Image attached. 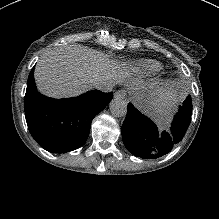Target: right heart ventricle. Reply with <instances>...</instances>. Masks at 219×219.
Wrapping results in <instances>:
<instances>
[{
    "mask_svg": "<svg viewBox=\"0 0 219 219\" xmlns=\"http://www.w3.org/2000/svg\"><path fill=\"white\" fill-rule=\"evenodd\" d=\"M129 66L135 74L146 78L153 77L161 69V64L153 60H139L129 63Z\"/></svg>",
    "mask_w": 219,
    "mask_h": 219,
    "instance_id": "right-heart-ventricle-1",
    "label": "right heart ventricle"
}]
</instances>
